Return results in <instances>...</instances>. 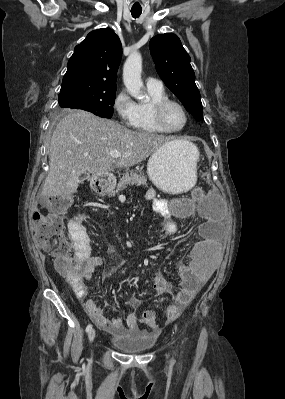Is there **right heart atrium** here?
<instances>
[{"label":"right heart atrium","mask_w":285,"mask_h":399,"mask_svg":"<svg viewBox=\"0 0 285 399\" xmlns=\"http://www.w3.org/2000/svg\"><path fill=\"white\" fill-rule=\"evenodd\" d=\"M113 109L125 126H135L136 103L125 90H121L116 94L113 100Z\"/></svg>","instance_id":"obj_1"}]
</instances>
